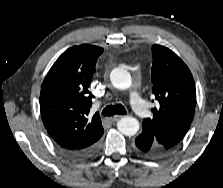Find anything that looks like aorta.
<instances>
[{"label":"aorta","mask_w":223,"mask_h":188,"mask_svg":"<svg viewBox=\"0 0 223 188\" xmlns=\"http://www.w3.org/2000/svg\"><path fill=\"white\" fill-rule=\"evenodd\" d=\"M110 80L113 86L120 90H126L132 84L130 73L123 68L113 69L110 74ZM117 128L122 134L133 136L139 130V121L134 117L126 116L118 121Z\"/></svg>","instance_id":"762f6f07"}]
</instances>
